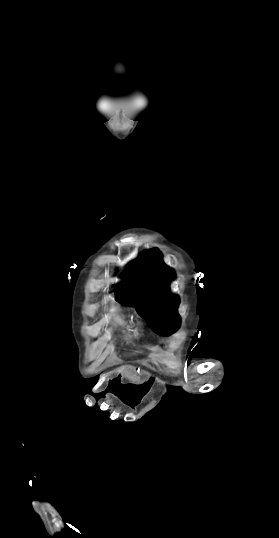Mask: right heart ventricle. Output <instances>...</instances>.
Instances as JSON below:
<instances>
[{
  "mask_svg": "<svg viewBox=\"0 0 279 538\" xmlns=\"http://www.w3.org/2000/svg\"><path fill=\"white\" fill-rule=\"evenodd\" d=\"M106 218V215H104L103 213H97L92 219V221L89 223L90 228L98 231L99 228L104 224ZM115 317L119 322H123V318L119 314H116Z\"/></svg>",
  "mask_w": 279,
  "mask_h": 538,
  "instance_id": "right-heart-ventricle-1",
  "label": "right heart ventricle"
}]
</instances>
